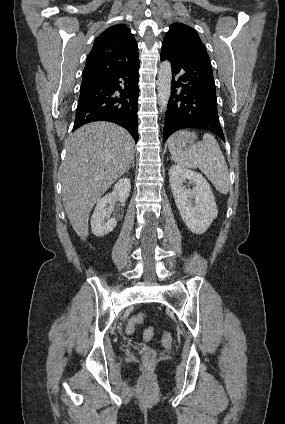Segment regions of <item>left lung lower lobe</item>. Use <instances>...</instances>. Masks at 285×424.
<instances>
[{
  "mask_svg": "<svg viewBox=\"0 0 285 424\" xmlns=\"http://www.w3.org/2000/svg\"><path fill=\"white\" fill-rule=\"evenodd\" d=\"M161 60L170 61L175 75L165 116L164 141L174 132L185 128L205 129L224 140L208 54L201 51L183 52L163 42ZM180 72L183 74L177 76Z\"/></svg>",
  "mask_w": 285,
  "mask_h": 424,
  "instance_id": "0a47b994",
  "label": "left lung lower lobe"
}]
</instances>
